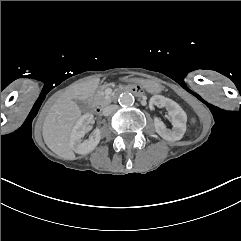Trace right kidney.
I'll return each instance as SVG.
<instances>
[{"instance_id":"right-kidney-1","label":"right kidney","mask_w":241,"mask_h":241,"mask_svg":"<svg viewBox=\"0 0 241 241\" xmlns=\"http://www.w3.org/2000/svg\"><path fill=\"white\" fill-rule=\"evenodd\" d=\"M93 121L94 115L86 113L75 124L70 138V145L75 153L88 154L99 144L101 140V130L99 128H95L90 138L82 142V138L88 133Z\"/></svg>"}]
</instances>
